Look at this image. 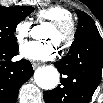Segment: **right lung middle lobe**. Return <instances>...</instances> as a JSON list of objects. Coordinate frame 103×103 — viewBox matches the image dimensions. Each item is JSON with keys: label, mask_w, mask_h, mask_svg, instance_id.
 <instances>
[{"label": "right lung middle lobe", "mask_w": 103, "mask_h": 103, "mask_svg": "<svg viewBox=\"0 0 103 103\" xmlns=\"http://www.w3.org/2000/svg\"><path fill=\"white\" fill-rule=\"evenodd\" d=\"M34 10L33 7L20 6L0 7V48L13 49L18 47L14 31L18 23L25 19Z\"/></svg>", "instance_id": "dd1d6c3e"}]
</instances>
